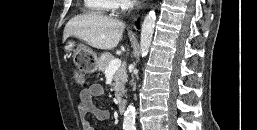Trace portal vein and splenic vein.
<instances>
[{
	"instance_id": "18ae733b",
	"label": "portal vein and splenic vein",
	"mask_w": 257,
	"mask_h": 130,
	"mask_svg": "<svg viewBox=\"0 0 257 130\" xmlns=\"http://www.w3.org/2000/svg\"><path fill=\"white\" fill-rule=\"evenodd\" d=\"M121 66L120 59L111 60L108 68L106 69V73L115 72Z\"/></svg>"
}]
</instances>
